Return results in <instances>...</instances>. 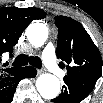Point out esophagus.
Here are the masks:
<instances>
[{"label": "esophagus", "instance_id": "esophagus-1", "mask_svg": "<svg viewBox=\"0 0 103 103\" xmlns=\"http://www.w3.org/2000/svg\"><path fill=\"white\" fill-rule=\"evenodd\" d=\"M42 73H44V70H43V69H38V70H37V74H38V75H40V74H42Z\"/></svg>", "mask_w": 103, "mask_h": 103}]
</instances>
